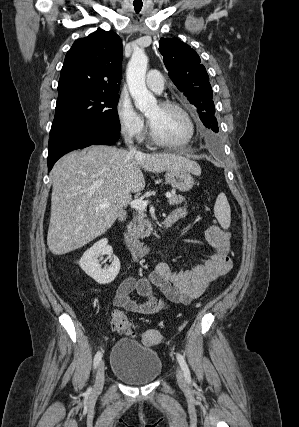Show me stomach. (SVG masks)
<instances>
[{"mask_svg":"<svg viewBox=\"0 0 299 427\" xmlns=\"http://www.w3.org/2000/svg\"><path fill=\"white\" fill-rule=\"evenodd\" d=\"M165 180L173 188L181 192L189 191L194 185V179L191 175V172L185 169L166 170Z\"/></svg>","mask_w":299,"mask_h":427,"instance_id":"obj_1","label":"stomach"}]
</instances>
